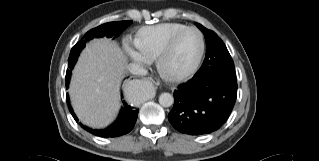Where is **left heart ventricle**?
I'll return each instance as SVG.
<instances>
[{
    "instance_id": "left-heart-ventricle-1",
    "label": "left heart ventricle",
    "mask_w": 319,
    "mask_h": 161,
    "mask_svg": "<svg viewBox=\"0 0 319 161\" xmlns=\"http://www.w3.org/2000/svg\"><path fill=\"white\" fill-rule=\"evenodd\" d=\"M199 35L195 31L184 33L175 43L165 61V67L170 72L187 70L195 62L199 53Z\"/></svg>"
}]
</instances>
